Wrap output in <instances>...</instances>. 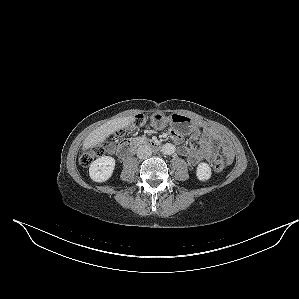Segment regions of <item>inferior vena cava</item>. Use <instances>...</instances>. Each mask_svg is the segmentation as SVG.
Instances as JSON below:
<instances>
[{
    "instance_id": "1",
    "label": "inferior vena cava",
    "mask_w": 299,
    "mask_h": 299,
    "mask_svg": "<svg viewBox=\"0 0 299 299\" xmlns=\"http://www.w3.org/2000/svg\"><path fill=\"white\" fill-rule=\"evenodd\" d=\"M152 155V150L148 145H141L137 150V157L139 159H146Z\"/></svg>"
}]
</instances>
